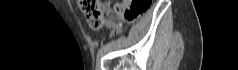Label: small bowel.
I'll use <instances>...</instances> for the list:
<instances>
[{
	"instance_id": "small-bowel-1",
	"label": "small bowel",
	"mask_w": 238,
	"mask_h": 70,
	"mask_svg": "<svg viewBox=\"0 0 238 70\" xmlns=\"http://www.w3.org/2000/svg\"><path fill=\"white\" fill-rule=\"evenodd\" d=\"M106 25L109 27V28H114V29H118L119 26L117 24H115L112 20H108Z\"/></svg>"
}]
</instances>
